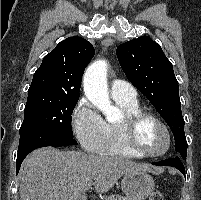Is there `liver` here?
Listing matches in <instances>:
<instances>
[{"mask_svg": "<svg viewBox=\"0 0 201 200\" xmlns=\"http://www.w3.org/2000/svg\"><path fill=\"white\" fill-rule=\"evenodd\" d=\"M147 171L148 165L124 158L43 147L21 166L20 200H87L90 182H95L98 193H106L123 175Z\"/></svg>", "mask_w": 201, "mask_h": 200, "instance_id": "liver-1", "label": "liver"}]
</instances>
